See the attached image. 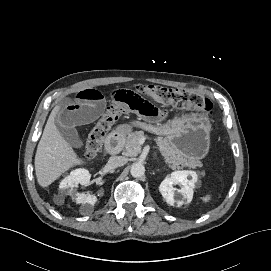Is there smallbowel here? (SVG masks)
Returning <instances> with one entry per match:
<instances>
[{
	"instance_id": "small-bowel-1",
	"label": "small bowel",
	"mask_w": 271,
	"mask_h": 271,
	"mask_svg": "<svg viewBox=\"0 0 271 271\" xmlns=\"http://www.w3.org/2000/svg\"><path fill=\"white\" fill-rule=\"evenodd\" d=\"M111 102L124 107V113H131L142 121L158 123L163 121L167 112L158 107L138 90L114 89ZM105 96L96 89H83L74 99L60 108L48 120L47 128L51 133L58 132L72 146L80 143L77 128L92 123L106 109Z\"/></svg>"
}]
</instances>
